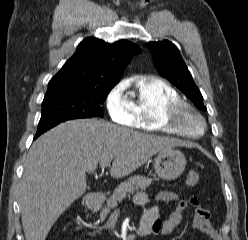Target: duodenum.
Returning a JSON list of instances; mask_svg holds the SVG:
<instances>
[{"label":"duodenum","instance_id":"1","mask_svg":"<svg viewBox=\"0 0 248 240\" xmlns=\"http://www.w3.org/2000/svg\"><path fill=\"white\" fill-rule=\"evenodd\" d=\"M101 205V194L98 192L91 193L86 200V207L89 211H96ZM150 229L147 225L140 227V235H147ZM130 240V238H128Z\"/></svg>","mask_w":248,"mask_h":240}]
</instances>
